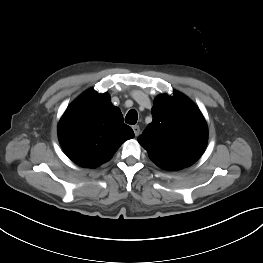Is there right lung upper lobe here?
I'll return each instance as SVG.
<instances>
[{
	"label": "right lung upper lobe",
	"instance_id": "cb5924a9",
	"mask_svg": "<svg viewBox=\"0 0 263 263\" xmlns=\"http://www.w3.org/2000/svg\"><path fill=\"white\" fill-rule=\"evenodd\" d=\"M58 135L72 161L96 168L109 161L126 140L134 137V132L124 124L122 113L110 102L109 95L91 88L66 109Z\"/></svg>",
	"mask_w": 263,
	"mask_h": 263
}]
</instances>
